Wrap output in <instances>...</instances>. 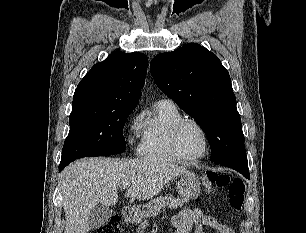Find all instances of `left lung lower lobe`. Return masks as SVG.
Returning <instances> with one entry per match:
<instances>
[{
	"label": "left lung lower lobe",
	"instance_id": "obj_1",
	"mask_svg": "<svg viewBox=\"0 0 306 233\" xmlns=\"http://www.w3.org/2000/svg\"><path fill=\"white\" fill-rule=\"evenodd\" d=\"M220 165L232 168L238 172H240L242 175H244L246 178H250L249 176V169H248V162L245 161H231V162H225Z\"/></svg>",
	"mask_w": 306,
	"mask_h": 233
}]
</instances>
